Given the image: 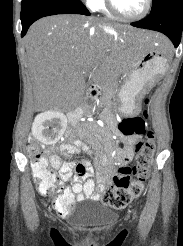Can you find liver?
<instances>
[{
    "mask_svg": "<svg viewBox=\"0 0 183 246\" xmlns=\"http://www.w3.org/2000/svg\"><path fill=\"white\" fill-rule=\"evenodd\" d=\"M134 38H145L159 49L169 46L161 34L96 17L55 15L36 21L25 36L35 99L61 111L76 107L85 95L88 75L103 84L129 72Z\"/></svg>",
    "mask_w": 183,
    "mask_h": 246,
    "instance_id": "obj_1",
    "label": "liver"
}]
</instances>
